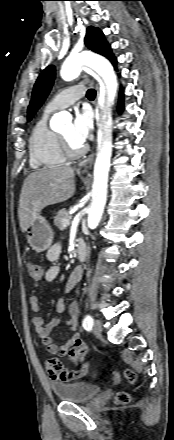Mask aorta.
I'll use <instances>...</instances> for the list:
<instances>
[{
  "instance_id": "1",
  "label": "aorta",
  "mask_w": 174,
  "mask_h": 440,
  "mask_svg": "<svg viewBox=\"0 0 174 440\" xmlns=\"http://www.w3.org/2000/svg\"><path fill=\"white\" fill-rule=\"evenodd\" d=\"M82 66L93 69L103 79L106 89L105 98L101 100L96 113L99 122L98 152L94 167L92 200L88 213L89 228H96L102 218L107 200L108 173L112 154L110 108L116 96L118 83L111 63L106 58L93 53H81L68 57L60 71L62 79L71 81L77 78ZM67 117L65 112L55 114L51 119V127L60 128Z\"/></svg>"
}]
</instances>
